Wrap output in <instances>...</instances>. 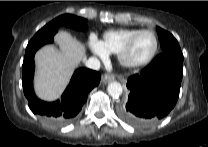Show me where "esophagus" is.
<instances>
[{"label":"esophagus","mask_w":208,"mask_h":147,"mask_svg":"<svg viewBox=\"0 0 208 147\" xmlns=\"http://www.w3.org/2000/svg\"><path fill=\"white\" fill-rule=\"evenodd\" d=\"M115 79L114 75L112 74H104L102 77L103 83L107 84Z\"/></svg>","instance_id":"1"}]
</instances>
